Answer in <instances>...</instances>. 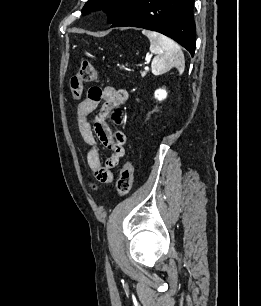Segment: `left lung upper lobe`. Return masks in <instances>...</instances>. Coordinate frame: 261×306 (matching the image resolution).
Masks as SVG:
<instances>
[{
	"label": "left lung upper lobe",
	"instance_id": "1",
	"mask_svg": "<svg viewBox=\"0 0 261 306\" xmlns=\"http://www.w3.org/2000/svg\"><path fill=\"white\" fill-rule=\"evenodd\" d=\"M134 0H88L82 9L85 14L94 8H103L108 13V23L117 22L130 8Z\"/></svg>",
	"mask_w": 261,
	"mask_h": 306
}]
</instances>
